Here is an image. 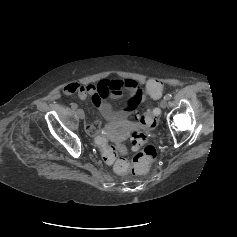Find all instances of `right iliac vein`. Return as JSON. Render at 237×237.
Returning <instances> with one entry per match:
<instances>
[{"mask_svg":"<svg viewBox=\"0 0 237 237\" xmlns=\"http://www.w3.org/2000/svg\"><path fill=\"white\" fill-rule=\"evenodd\" d=\"M76 113H77V115H78V117H79L80 119H84V118H85V113H84V111H83L82 109H78V110L76 111Z\"/></svg>","mask_w":237,"mask_h":237,"instance_id":"right-iliac-vein-1","label":"right iliac vein"}]
</instances>
